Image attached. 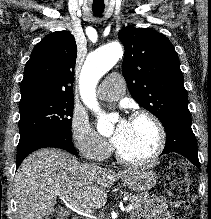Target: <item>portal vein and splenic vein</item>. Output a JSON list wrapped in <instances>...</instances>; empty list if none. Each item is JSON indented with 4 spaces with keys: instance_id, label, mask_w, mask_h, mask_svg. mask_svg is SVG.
<instances>
[{
    "instance_id": "portal-vein-and-splenic-vein-1",
    "label": "portal vein and splenic vein",
    "mask_w": 211,
    "mask_h": 219,
    "mask_svg": "<svg viewBox=\"0 0 211 219\" xmlns=\"http://www.w3.org/2000/svg\"><path fill=\"white\" fill-rule=\"evenodd\" d=\"M69 202H70V205L73 206L74 208H77L78 210H82L81 207L73 200H70ZM132 209H133L132 205H128L125 210L126 212H130Z\"/></svg>"
}]
</instances>
